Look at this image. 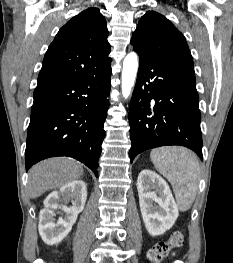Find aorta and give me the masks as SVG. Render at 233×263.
<instances>
[{
	"instance_id": "762f6f07",
	"label": "aorta",
	"mask_w": 233,
	"mask_h": 263,
	"mask_svg": "<svg viewBox=\"0 0 233 263\" xmlns=\"http://www.w3.org/2000/svg\"><path fill=\"white\" fill-rule=\"evenodd\" d=\"M138 71V56L135 52L129 53L123 61L122 94L127 98L134 86Z\"/></svg>"
}]
</instances>
